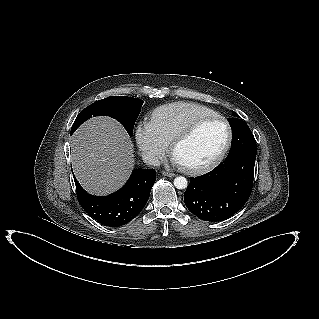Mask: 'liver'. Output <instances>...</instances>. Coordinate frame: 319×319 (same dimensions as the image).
<instances>
[{"instance_id": "obj_1", "label": "liver", "mask_w": 319, "mask_h": 319, "mask_svg": "<svg viewBox=\"0 0 319 319\" xmlns=\"http://www.w3.org/2000/svg\"><path fill=\"white\" fill-rule=\"evenodd\" d=\"M72 167L90 194L118 190L134 167V145L123 126L110 117H93L70 139Z\"/></svg>"}]
</instances>
